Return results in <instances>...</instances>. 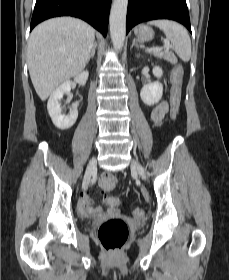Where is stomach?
Listing matches in <instances>:
<instances>
[{
    "label": "stomach",
    "mask_w": 229,
    "mask_h": 280,
    "mask_svg": "<svg viewBox=\"0 0 229 280\" xmlns=\"http://www.w3.org/2000/svg\"><path fill=\"white\" fill-rule=\"evenodd\" d=\"M135 36L142 42L150 41L154 37L153 30L146 25H138L134 28Z\"/></svg>",
    "instance_id": "0dacf381"
}]
</instances>
